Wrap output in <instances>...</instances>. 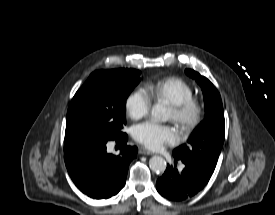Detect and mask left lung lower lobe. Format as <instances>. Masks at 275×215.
I'll return each mask as SVG.
<instances>
[{
	"label": "left lung lower lobe",
	"instance_id": "1",
	"mask_svg": "<svg viewBox=\"0 0 275 215\" xmlns=\"http://www.w3.org/2000/svg\"><path fill=\"white\" fill-rule=\"evenodd\" d=\"M174 159L176 165L179 159ZM181 161L185 165L181 172L167 165L164 174L156 182L160 195L172 201H182L196 195L206 186L214 172V168L193 161Z\"/></svg>",
	"mask_w": 275,
	"mask_h": 215
}]
</instances>
